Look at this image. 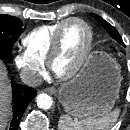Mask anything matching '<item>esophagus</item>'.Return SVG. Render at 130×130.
<instances>
[{
  "mask_svg": "<svg viewBox=\"0 0 130 130\" xmlns=\"http://www.w3.org/2000/svg\"><path fill=\"white\" fill-rule=\"evenodd\" d=\"M45 91L51 94H55L57 92V90L54 87L46 88Z\"/></svg>",
  "mask_w": 130,
  "mask_h": 130,
  "instance_id": "1",
  "label": "esophagus"
}]
</instances>
